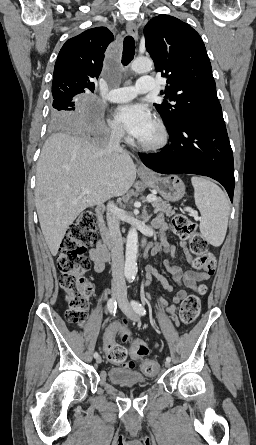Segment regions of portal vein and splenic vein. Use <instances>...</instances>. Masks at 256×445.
Here are the masks:
<instances>
[{
    "label": "portal vein and splenic vein",
    "instance_id": "obj_1",
    "mask_svg": "<svg viewBox=\"0 0 256 445\" xmlns=\"http://www.w3.org/2000/svg\"><path fill=\"white\" fill-rule=\"evenodd\" d=\"M89 193V190L88 189H83L82 190V195H86V194H88ZM155 197L154 196H149L148 198H147V200H149V201H155ZM186 211H188L191 215H195L196 214V212L194 211V210H192L191 208H186L185 209Z\"/></svg>",
    "mask_w": 256,
    "mask_h": 445
}]
</instances>
